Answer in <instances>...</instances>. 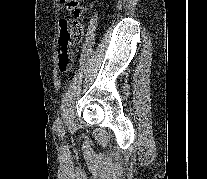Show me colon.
Returning a JSON list of instances; mask_svg holds the SVG:
<instances>
[{
  "mask_svg": "<svg viewBox=\"0 0 207 179\" xmlns=\"http://www.w3.org/2000/svg\"><path fill=\"white\" fill-rule=\"evenodd\" d=\"M67 8L73 13L74 19L64 20L60 25L59 67L61 72H67L71 60L72 44H79L83 37V27L79 21L84 13L80 0H66Z\"/></svg>",
  "mask_w": 207,
  "mask_h": 179,
  "instance_id": "obj_1",
  "label": "colon"
}]
</instances>
